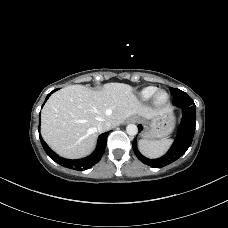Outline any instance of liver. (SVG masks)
I'll use <instances>...</instances> for the list:
<instances>
[{
	"mask_svg": "<svg viewBox=\"0 0 228 228\" xmlns=\"http://www.w3.org/2000/svg\"><path fill=\"white\" fill-rule=\"evenodd\" d=\"M169 111L143 105L132 86L107 83L95 91L83 85H70L55 92L41 112V134L59 155L76 159L95 147L98 125H120L133 115L152 119Z\"/></svg>",
	"mask_w": 228,
	"mask_h": 228,
	"instance_id": "6515ba94",
	"label": "liver"
}]
</instances>
